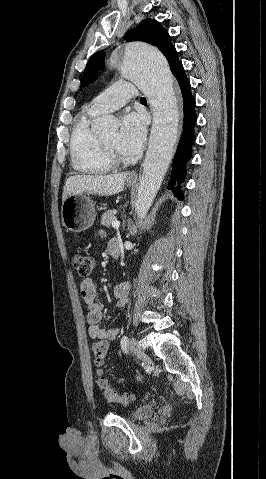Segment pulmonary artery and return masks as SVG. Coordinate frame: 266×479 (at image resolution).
I'll list each match as a JSON object with an SVG mask.
<instances>
[{
	"instance_id": "pulmonary-artery-1",
	"label": "pulmonary artery",
	"mask_w": 266,
	"mask_h": 479,
	"mask_svg": "<svg viewBox=\"0 0 266 479\" xmlns=\"http://www.w3.org/2000/svg\"><path fill=\"white\" fill-rule=\"evenodd\" d=\"M137 95L138 91L132 83L119 81L98 94L90 102L88 109L98 114L115 111Z\"/></svg>"
}]
</instances>
